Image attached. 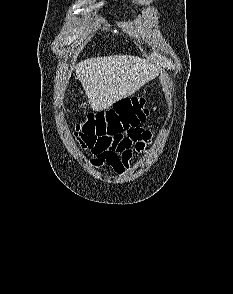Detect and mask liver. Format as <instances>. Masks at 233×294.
<instances>
[{
  "label": "liver",
  "mask_w": 233,
  "mask_h": 294,
  "mask_svg": "<svg viewBox=\"0 0 233 294\" xmlns=\"http://www.w3.org/2000/svg\"><path fill=\"white\" fill-rule=\"evenodd\" d=\"M75 69L94 111L108 109L131 96L160 72L153 62L131 55L90 58L81 61Z\"/></svg>",
  "instance_id": "1"
}]
</instances>
